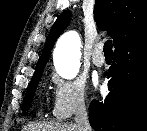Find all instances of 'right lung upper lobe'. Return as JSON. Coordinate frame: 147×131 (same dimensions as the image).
<instances>
[{
    "label": "right lung upper lobe",
    "mask_w": 147,
    "mask_h": 131,
    "mask_svg": "<svg viewBox=\"0 0 147 131\" xmlns=\"http://www.w3.org/2000/svg\"><path fill=\"white\" fill-rule=\"evenodd\" d=\"M94 17L98 27L113 38L116 48L147 31V0H96ZM70 19L71 13L66 10L55 21L34 74L43 71L56 39Z\"/></svg>",
    "instance_id": "obj_1"
}]
</instances>
